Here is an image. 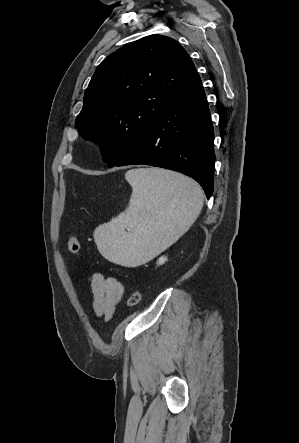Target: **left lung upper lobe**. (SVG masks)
I'll list each match as a JSON object with an SVG mask.
<instances>
[{
    "mask_svg": "<svg viewBox=\"0 0 299 443\" xmlns=\"http://www.w3.org/2000/svg\"><path fill=\"white\" fill-rule=\"evenodd\" d=\"M196 73L184 48L167 36L150 35L118 49L85 91L79 134L99 143L103 161L113 167Z\"/></svg>",
    "mask_w": 299,
    "mask_h": 443,
    "instance_id": "1",
    "label": "left lung upper lobe"
}]
</instances>
